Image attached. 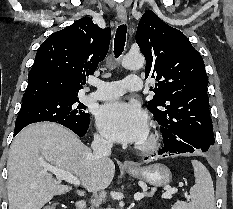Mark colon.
Here are the masks:
<instances>
[{
	"instance_id": "colon-1",
	"label": "colon",
	"mask_w": 233,
	"mask_h": 209,
	"mask_svg": "<svg viewBox=\"0 0 233 209\" xmlns=\"http://www.w3.org/2000/svg\"><path fill=\"white\" fill-rule=\"evenodd\" d=\"M42 209H58V207L56 203H51V204L45 205Z\"/></svg>"
}]
</instances>
